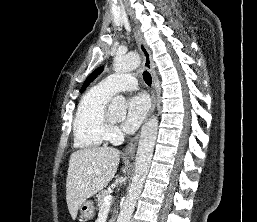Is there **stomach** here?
<instances>
[{
  "mask_svg": "<svg viewBox=\"0 0 257 222\" xmlns=\"http://www.w3.org/2000/svg\"><path fill=\"white\" fill-rule=\"evenodd\" d=\"M79 211L82 218L86 220L92 219L95 215V208H94L93 202L90 200H85L79 206Z\"/></svg>",
  "mask_w": 257,
  "mask_h": 222,
  "instance_id": "stomach-1",
  "label": "stomach"
}]
</instances>
